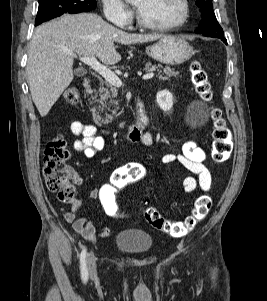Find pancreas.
I'll return each instance as SVG.
<instances>
[{"mask_svg": "<svg viewBox=\"0 0 267 301\" xmlns=\"http://www.w3.org/2000/svg\"><path fill=\"white\" fill-rule=\"evenodd\" d=\"M155 69H158L159 73L161 74L159 75V79L162 80H169L170 77H176L179 75V72H175L174 69L168 66L163 68L162 65L152 64L151 62H148L145 66V70L147 71ZM162 74H165V76H163ZM117 95L118 92L115 86L107 81L100 83L99 90L95 92L93 96H91V99L98 104L97 107H94L92 109L95 122L108 124L113 120V117L108 115L107 113H105V119L99 116V112H103L105 110L112 111V114L115 117L117 116V111L119 110L118 99H116Z\"/></svg>", "mask_w": 267, "mask_h": 301, "instance_id": "1", "label": "pancreas"}]
</instances>
